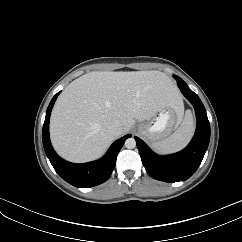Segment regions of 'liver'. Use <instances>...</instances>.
Wrapping results in <instances>:
<instances>
[{
    "instance_id": "1",
    "label": "liver",
    "mask_w": 242,
    "mask_h": 242,
    "mask_svg": "<svg viewBox=\"0 0 242 242\" xmlns=\"http://www.w3.org/2000/svg\"><path fill=\"white\" fill-rule=\"evenodd\" d=\"M163 108L183 113L182 98L160 71H93L72 81L52 110L50 136L57 153L72 162L94 160L127 133L136 120L153 118ZM121 125L112 135L111 124Z\"/></svg>"
}]
</instances>
